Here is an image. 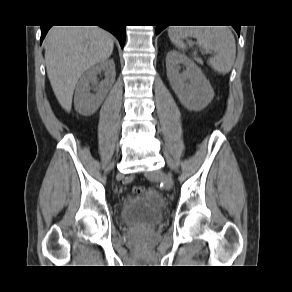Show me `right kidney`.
Wrapping results in <instances>:
<instances>
[{
  "label": "right kidney",
  "mask_w": 292,
  "mask_h": 292,
  "mask_svg": "<svg viewBox=\"0 0 292 292\" xmlns=\"http://www.w3.org/2000/svg\"><path fill=\"white\" fill-rule=\"evenodd\" d=\"M101 72H104L105 79L97 83V75ZM115 77L113 59L102 61L89 68L77 83L74 96L75 109L86 116L95 113L114 84ZM90 90L94 93H91Z\"/></svg>",
  "instance_id": "1"
}]
</instances>
